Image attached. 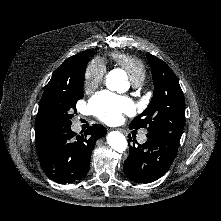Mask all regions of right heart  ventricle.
Returning a JSON list of instances; mask_svg holds the SVG:
<instances>
[{"label": "right heart ventricle", "instance_id": "right-heart-ventricle-1", "mask_svg": "<svg viewBox=\"0 0 221 221\" xmlns=\"http://www.w3.org/2000/svg\"><path fill=\"white\" fill-rule=\"evenodd\" d=\"M113 61L123 68L129 75L131 82L141 84L146 77V68L142 61L128 54H114Z\"/></svg>", "mask_w": 221, "mask_h": 221}]
</instances>
